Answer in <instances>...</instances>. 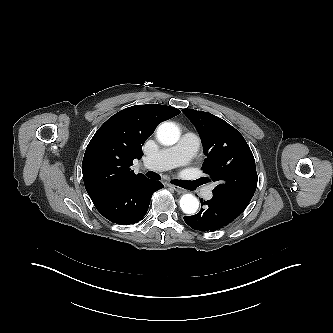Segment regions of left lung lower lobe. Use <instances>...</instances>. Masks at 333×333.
<instances>
[{
    "label": "left lung lower lobe",
    "mask_w": 333,
    "mask_h": 333,
    "mask_svg": "<svg viewBox=\"0 0 333 333\" xmlns=\"http://www.w3.org/2000/svg\"><path fill=\"white\" fill-rule=\"evenodd\" d=\"M202 206L205 207H201L196 215L184 216V221L193 229L203 232L219 230L243 212L215 195L211 200L203 201Z\"/></svg>",
    "instance_id": "1"
}]
</instances>
